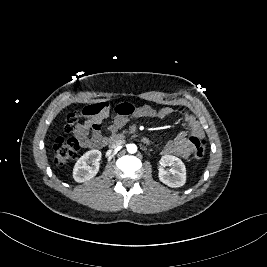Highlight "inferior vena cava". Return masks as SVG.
<instances>
[{
	"label": "inferior vena cava",
	"mask_w": 267,
	"mask_h": 267,
	"mask_svg": "<svg viewBox=\"0 0 267 267\" xmlns=\"http://www.w3.org/2000/svg\"><path fill=\"white\" fill-rule=\"evenodd\" d=\"M125 143V140L123 139H116L114 141H112L109 145V147L111 149H115V148H118L119 146L123 145Z\"/></svg>",
	"instance_id": "obj_1"
}]
</instances>
